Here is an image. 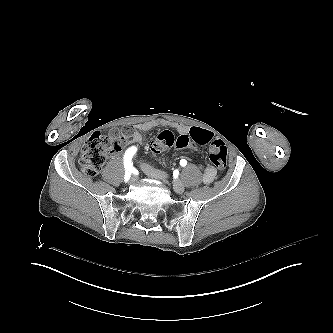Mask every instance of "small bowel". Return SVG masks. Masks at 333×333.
<instances>
[{
	"mask_svg": "<svg viewBox=\"0 0 333 333\" xmlns=\"http://www.w3.org/2000/svg\"><path fill=\"white\" fill-rule=\"evenodd\" d=\"M167 126L168 128H171L173 126V123L171 121H168L167 123L163 120H154L151 122H144L141 124H138L132 128V137L128 141L129 147H135V145L144 142V138L142 133L148 132L156 127H162ZM174 128L176 130L182 129L183 132L180 134L181 138H187V137H199V138H205L209 139L212 137L211 132L208 130L202 129V128H191L188 129V126L186 124L181 125L180 123H176L174 125ZM216 177V169L213 166H209L206 168L204 175H203V182L205 184H210Z\"/></svg>",
	"mask_w": 333,
	"mask_h": 333,
	"instance_id": "small-bowel-1",
	"label": "small bowel"
}]
</instances>
